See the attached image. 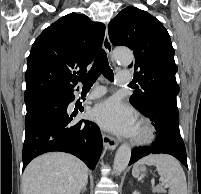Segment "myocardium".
<instances>
[{
  "mask_svg": "<svg viewBox=\"0 0 201 194\" xmlns=\"http://www.w3.org/2000/svg\"><path fill=\"white\" fill-rule=\"evenodd\" d=\"M155 133L152 125L146 120H140L137 125L133 142L137 145H145L154 139Z\"/></svg>",
  "mask_w": 201,
  "mask_h": 194,
  "instance_id": "myocardium-1",
  "label": "myocardium"
}]
</instances>
